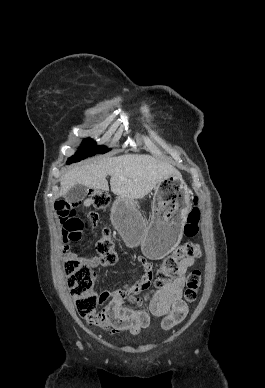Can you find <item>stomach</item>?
Returning <instances> with one entry per match:
<instances>
[{
    "mask_svg": "<svg viewBox=\"0 0 265 388\" xmlns=\"http://www.w3.org/2000/svg\"><path fill=\"white\" fill-rule=\"evenodd\" d=\"M190 190L182 177L169 176L155 188L152 220L147 223L132 201L117 198L111 218L129 247L141 245L150 259H161L179 243L189 213Z\"/></svg>",
    "mask_w": 265,
    "mask_h": 388,
    "instance_id": "obj_1",
    "label": "stomach"
}]
</instances>
